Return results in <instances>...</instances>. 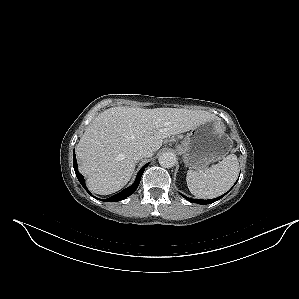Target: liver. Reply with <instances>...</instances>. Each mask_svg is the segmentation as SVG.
<instances>
[{"label":"liver","instance_id":"liver-1","mask_svg":"<svg viewBox=\"0 0 299 299\" xmlns=\"http://www.w3.org/2000/svg\"><path fill=\"white\" fill-rule=\"evenodd\" d=\"M218 117L207 111L177 108L112 107L88 126L76 147L79 170L95 194L108 195L124 187L141 149H160L163 139L184 133Z\"/></svg>","mask_w":299,"mask_h":299}]
</instances>
